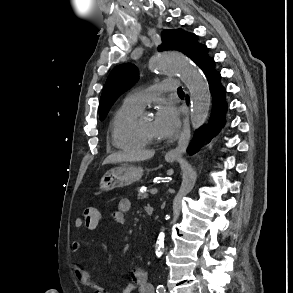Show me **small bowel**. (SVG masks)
Instances as JSON below:
<instances>
[{
    "instance_id": "1",
    "label": "small bowel",
    "mask_w": 293,
    "mask_h": 293,
    "mask_svg": "<svg viewBox=\"0 0 293 293\" xmlns=\"http://www.w3.org/2000/svg\"><path fill=\"white\" fill-rule=\"evenodd\" d=\"M130 207L131 203L128 198L120 199L117 203V209L111 214L112 220L118 224L125 223V216L130 210ZM82 226L83 222L80 219H77L75 221V227L81 228ZM87 228L94 229L96 226H87ZM80 247L81 243L79 241H74L72 243L71 249L73 252H77ZM75 275L81 284L92 287L95 293H109L101 286L96 285L86 273V271L79 265L75 267ZM130 278L131 282L119 293H154V288L148 281V275L143 269L132 270L130 273Z\"/></svg>"
}]
</instances>
